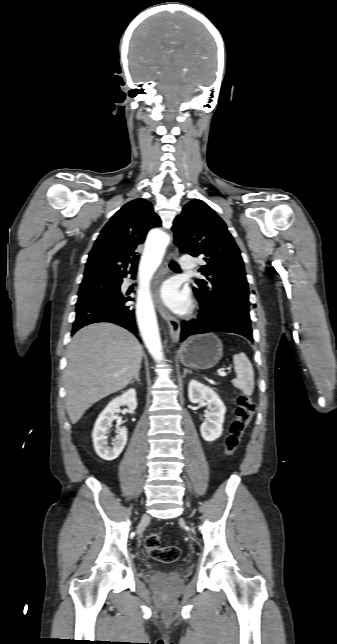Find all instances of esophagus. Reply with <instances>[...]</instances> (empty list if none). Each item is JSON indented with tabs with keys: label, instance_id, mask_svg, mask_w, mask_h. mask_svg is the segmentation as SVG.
Wrapping results in <instances>:
<instances>
[{
	"label": "esophagus",
	"instance_id": "obj_1",
	"mask_svg": "<svg viewBox=\"0 0 337 644\" xmlns=\"http://www.w3.org/2000/svg\"><path fill=\"white\" fill-rule=\"evenodd\" d=\"M178 257V254L176 251H173L169 254L168 260L165 264V267L162 268L160 273L157 276V280L155 282V287H154V300L155 304L157 307V310L159 311L160 315L165 319V321L168 324L169 327V333L170 337L173 342H177L179 340L180 336V323L179 321L171 315V313L164 307L160 296H159V288H160V283L164 277V275L168 272V263L172 259H176Z\"/></svg>",
	"mask_w": 337,
	"mask_h": 644
}]
</instances>
